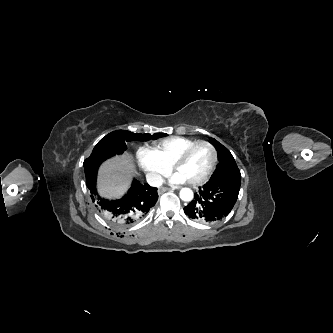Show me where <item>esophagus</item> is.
Listing matches in <instances>:
<instances>
[{
    "label": "esophagus",
    "mask_w": 333,
    "mask_h": 333,
    "mask_svg": "<svg viewBox=\"0 0 333 333\" xmlns=\"http://www.w3.org/2000/svg\"><path fill=\"white\" fill-rule=\"evenodd\" d=\"M170 190H172V189L168 188V187H162V188L159 189V194H162V193H164L166 191H170Z\"/></svg>",
    "instance_id": "1"
}]
</instances>
